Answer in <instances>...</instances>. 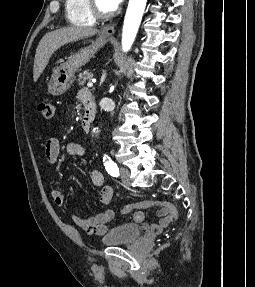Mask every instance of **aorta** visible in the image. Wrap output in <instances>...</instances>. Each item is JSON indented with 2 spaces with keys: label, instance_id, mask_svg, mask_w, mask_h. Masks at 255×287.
<instances>
[{
  "label": "aorta",
  "instance_id": "762f6f07",
  "mask_svg": "<svg viewBox=\"0 0 255 287\" xmlns=\"http://www.w3.org/2000/svg\"><path fill=\"white\" fill-rule=\"evenodd\" d=\"M147 0H129L126 11L123 32H122V49L127 52L138 32Z\"/></svg>",
  "mask_w": 255,
  "mask_h": 287
}]
</instances>
